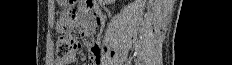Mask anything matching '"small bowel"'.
I'll use <instances>...</instances> for the list:
<instances>
[{
	"instance_id": "c3829d8e",
	"label": "small bowel",
	"mask_w": 232,
	"mask_h": 65,
	"mask_svg": "<svg viewBox=\"0 0 232 65\" xmlns=\"http://www.w3.org/2000/svg\"><path fill=\"white\" fill-rule=\"evenodd\" d=\"M77 20L82 22V24L87 21L90 28L82 29L81 26H77ZM101 23L102 17L95 8L86 6L80 12H60L57 30L61 37H70V34H73V38H85V43L89 47V65H99L101 57L100 45L95 41L91 32ZM75 58L76 52L74 51L64 58L56 59L55 65L72 64Z\"/></svg>"
}]
</instances>
